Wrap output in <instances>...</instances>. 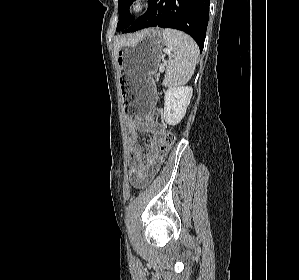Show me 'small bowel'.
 <instances>
[{
	"label": "small bowel",
	"mask_w": 299,
	"mask_h": 280,
	"mask_svg": "<svg viewBox=\"0 0 299 280\" xmlns=\"http://www.w3.org/2000/svg\"><path fill=\"white\" fill-rule=\"evenodd\" d=\"M130 129V180L135 185L150 180L158 171L162 159L161 151L165 143L166 130L156 122L146 120H131ZM139 132H150L153 138L146 147L138 142L137 134Z\"/></svg>",
	"instance_id": "obj_1"
}]
</instances>
